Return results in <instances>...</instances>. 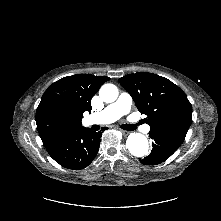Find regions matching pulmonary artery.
Instances as JSON below:
<instances>
[{"instance_id":"1","label":"pulmonary artery","mask_w":221,"mask_h":221,"mask_svg":"<svg viewBox=\"0 0 221 221\" xmlns=\"http://www.w3.org/2000/svg\"><path fill=\"white\" fill-rule=\"evenodd\" d=\"M132 105V97L130 94L124 92L112 104L108 105L104 110L95 114L94 118L99 123H112L127 114ZM149 127L146 128V131Z\"/></svg>"}]
</instances>
